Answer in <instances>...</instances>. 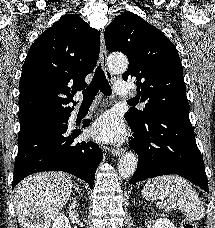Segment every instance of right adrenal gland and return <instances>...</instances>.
Masks as SVG:
<instances>
[{
  "label": "right adrenal gland",
  "instance_id": "2a0ac1e0",
  "mask_svg": "<svg viewBox=\"0 0 215 228\" xmlns=\"http://www.w3.org/2000/svg\"><path fill=\"white\" fill-rule=\"evenodd\" d=\"M74 188H75L76 192H78V194H80V196H82V194H81V192H80V190H79L77 184H75Z\"/></svg>",
  "mask_w": 215,
  "mask_h": 228
}]
</instances>
